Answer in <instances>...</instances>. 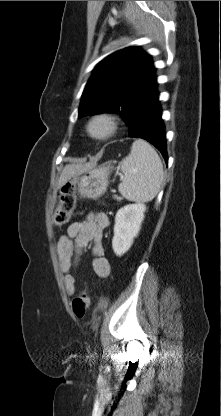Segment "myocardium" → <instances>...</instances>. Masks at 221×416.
Here are the masks:
<instances>
[{
  "instance_id": "obj_1",
  "label": "myocardium",
  "mask_w": 221,
  "mask_h": 416,
  "mask_svg": "<svg viewBox=\"0 0 221 416\" xmlns=\"http://www.w3.org/2000/svg\"><path fill=\"white\" fill-rule=\"evenodd\" d=\"M118 128V122L114 115L101 112L93 115L87 123V133L95 140H107L112 137Z\"/></svg>"
}]
</instances>
